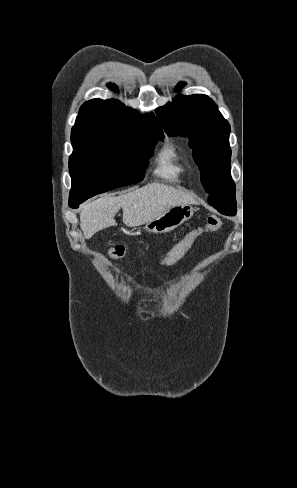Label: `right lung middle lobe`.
<instances>
[{
  "instance_id": "1",
  "label": "right lung middle lobe",
  "mask_w": 297,
  "mask_h": 488,
  "mask_svg": "<svg viewBox=\"0 0 297 488\" xmlns=\"http://www.w3.org/2000/svg\"><path fill=\"white\" fill-rule=\"evenodd\" d=\"M159 139L163 136L143 129L128 137L73 145L69 158L72 178L69 206L78 208L94 195L143 180L148 159Z\"/></svg>"
}]
</instances>
